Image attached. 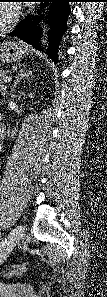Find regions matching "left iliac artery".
<instances>
[{"label":"left iliac artery","instance_id":"obj_1","mask_svg":"<svg viewBox=\"0 0 107 297\" xmlns=\"http://www.w3.org/2000/svg\"><path fill=\"white\" fill-rule=\"evenodd\" d=\"M6 243H7L6 240H5V241H2V242L0 243V251L5 247Z\"/></svg>","mask_w":107,"mask_h":297}]
</instances>
